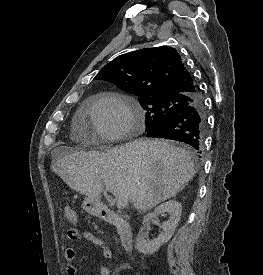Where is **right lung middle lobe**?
<instances>
[{
  "instance_id": "obj_1",
  "label": "right lung middle lobe",
  "mask_w": 263,
  "mask_h": 275,
  "mask_svg": "<svg viewBox=\"0 0 263 275\" xmlns=\"http://www.w3.org/2000/svg\"><path fill=\"white\" fill-rule=\"evenodd\" d=\"M138 101L146 111L147 132L192 104L193 98L186 95H155L138 96Z\"/></svg>"
}]
</instances>
